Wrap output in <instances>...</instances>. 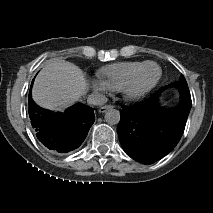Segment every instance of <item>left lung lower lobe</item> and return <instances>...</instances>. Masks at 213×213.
I'll list each match as a JSON object with an SVG mask.
<instances>
[{
  "instance_id": "left-lung-lower-lobe-1",
  "label": "left lung lower lobe",
  "mask_w": 213,
  "mask_h": 213,
  "mask_svg": "<svg viewBox=\"0 0 213 213\" xmlns=\"http://www.w3.org/2000/svg\"><path fill=\"white\" fill-rule=\"evenodd\" d=\"M174 85L181 93V103L175 109L159 106V90L144 102L120 111L117 133L123 150L131 158L151 164L170 153L179 142L192 101L187 83Z\"/></svg>"
}]
</instances>
